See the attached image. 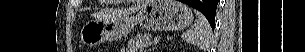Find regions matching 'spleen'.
Returning <instances> with one entry per match:
<instances>
[{"label": "spleen", "instance_id": "obj_1", "mask_svg": "<svg viewBox=\"0 0 305 52\" xmlns=\"http://www.w3.org/2000/svg\"><path fill=\"white\" fill-rule=\"evenodd\" d=\"M195 13L196 23L191 30L182 34V38L188 43L208 50L213 36L211 26L201 12L195 10Z\"/></svg>", "mask_w": 305, "mask_h": 52}]
</instances>
